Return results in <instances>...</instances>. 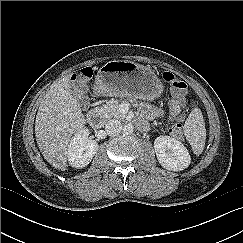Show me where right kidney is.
Segmentation results:
<instances>
[{"label":"right kidney","instance_id":"1","mask_svg":"<svg viewBox=\"0 0 243 243\" xmlns=\"http://www.w3.org/2000/svg\"><path fill=\"white\" fill-rule=\"evenodd\" d=\"M88 136L89 130L86 128L74 133L67 152L68 162L72 167L83 168L87 166L97 153L98 143L89 139Z\"/></svg>","mask_w":243,"mask_h":243}]
</instances>
